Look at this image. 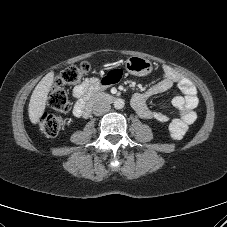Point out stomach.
<instances>
[{"label":"stomach","instance_id":"0dacf381","mask_svg":"<svg viewBox=\"0 0 227 227\" xmlns=\"http://www.w3.org/2000/svg\"><path fill=\"white\" fill-rule=\"evenodd\" d=\"M126 70L135 76H146L153 69L152 62L140 56H130L125 62Z\"/></svg>","mask_w":227,"mask_h":227}]
</instances>
